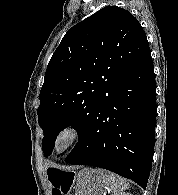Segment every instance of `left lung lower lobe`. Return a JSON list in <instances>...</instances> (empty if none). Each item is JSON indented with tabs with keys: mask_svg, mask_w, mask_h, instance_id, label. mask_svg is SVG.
<instances>
[{
	"mask_svg": "<svg viewBox=\"0 0 178 195\" xmlns=\"http://www.w3.org/2000/svg\"><path fill=\"white\" fill-rule=\"evenodd\" d=\"M156 83L151 53L113 89L65 161L115 172L146 188L152 167Z\"/></svg>",
	"mask_w": 178,
	"mask_h": 195,
	"instance_id": "obj_1",
	"label": "left lung lower lobe"
}]
</instances>
